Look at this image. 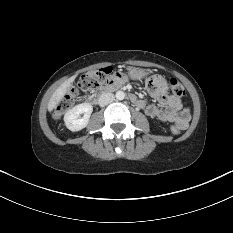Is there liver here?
I'll use <instances>...</instances> for the list:
<instances>
[{
    "label": "liver",
    "instance_id": "liver-1",
    "mask_svg": "<svg viewBox=\"0 0 233 233\" xmlns=\"http://www.w3.org/2000/svg\"><path fill=\"white\" fill-rule=\"evenodd\" d=\"M75 79L76 75L67 79L56 89L48 102V111L51 112L53 109L56 108V106L61 102L63 96L69 91Z\"/></svg>",
    "mask_w": 233,
    "mask_h": 233
}]
</instances>
